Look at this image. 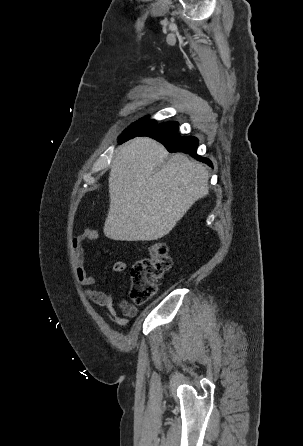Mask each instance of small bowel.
<instances>
[{
    "instance_id": "1",
    "label": "small bowel",
    "mask_w": 303,
    "mask_h": 446,
    "mask_svg": "<svg viewBox=\"0 0 303 446\" xmlns=\"http://www.w3.org/2000/svg\"><path fill=\"white\" fill-rule=\"evenodd\" d=\"M99 239V233L92 228H84L78 235L72 239V254L75 275L79 283L86 287L94 286L97 279L94 275L87 273L85 268V250L84 246L87 242H95ZM126 264L123 261H116L113 264V271L117 273L124 272ZM86 298L95 305L106 308L105 313L107 319L124 328L128 325L130 318H134L138 314V308L126 301H121L118 308L115 306L113 291L111 286H107L103 290L86 289L84 291Z\"/></svg>"
}]
</instances>
